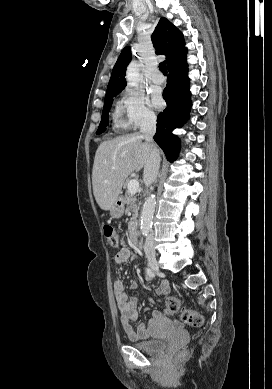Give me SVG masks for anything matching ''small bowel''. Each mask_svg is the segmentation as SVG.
Listing matches in <instances>:
<instances>
[{
  "label": "small bowel",
  "instance_id": "obj_1",
  "mask_svg": "<svg viewBox=\"0 0 272 389\" xmlns=\"http://www.w3.org/2000/svg\"><path fill=\"white\" fill-rule=\"evenodd\" d=\"M130 256V250L127 247L122 246L121 249L114 255V261L120 264L127 261ZM130 288L136 289L137 283L132 281L130 283ZM113 290L118 310L120 312L121 324L128 338L133 341L151 338L153 336V332L150 325L161 317V313L154 311L152 320L149 324L140 323L137 329H135L132 324L138 318L139 299L137 297L128 298L124 289V284L120 280L114 282ZM169 290L170 288L167 283H161L156 290V294L166 295L169 293Z\"/></svg>",
  "mask_w": 272,
  "mask_h": 389
}]
</instances>
